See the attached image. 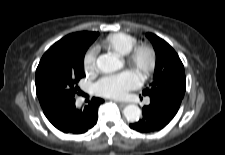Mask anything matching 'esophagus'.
<instances>
[{"label":"esophagus","mask_w":225,"mask_h":155,"mask_svg":"<svg viewBox=\"0 0 225 155\" xmlns=\"http://www.w3.org/2000/svg\"><path fill=\"white\" fill-rule=\"evenodd\" d=\"M121 107H125L127 105L126 102H117Z\"/></svg>","instance_id":"1"}]
</instances>
